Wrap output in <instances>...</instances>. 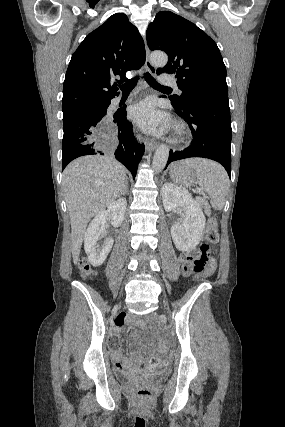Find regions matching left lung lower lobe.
I'll return each mask as SVG.
<instances>
[{"label": "left lung lower lobe", "mask_w": 285, "mask_h": 427, "mask_svg": "<svg viewBox=\"0 0 285 427\" xmlns=\"http://www.w3.org/2000/svg\"><path fill=\"white\" fill-rule=\"evenodd\" d=\"M176 113L190 126L193 134L191 145L183 151L169 153V163L203 157L222 164L231 176V119L229 104L210 99L186 102L183 106L172 103Z\"/></svg>", "instance_id": "1"}]
</instances>
